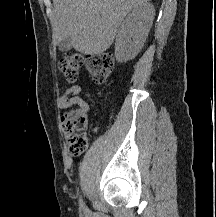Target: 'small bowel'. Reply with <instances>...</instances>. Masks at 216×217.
Masks as SVG:
<instances>
[{
  "mask_svg": "<svg viewBox=\"0 0 216 217\" xmlns=\"http://www.w3.org/2000/svg\"><path fill=\"white\" fill-rule=\"evenodd\" d=\"M81 92H82V87L80 85H73L69 87L59 98L60 109L67 110L73 106H80L82 108H87V104L78 96Z\"/></svg>",
  "mask_w": 216,
  "mask_h": 217,
  "instance_id": "obj_1",
  "label": "small bowel"
}]
</instances>
